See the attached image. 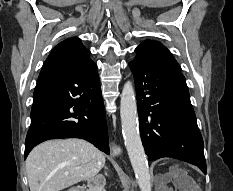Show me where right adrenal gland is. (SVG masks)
Instances as JSON below:
<instances>
[{"label": "right adrenal gland", "mask_w": 233, "mask_h": 191, "mask_svg": "<svg viewBox=\"0 0 233 191\" xmlns=\"http://www.w3.org/2000/svg\"><path fill=\"white\" fill-rule=\"evenodd\" d=\"M106 169H108L107 167H105ZM101 177H103V175H100ZM104 178V177H103ZM104 181H105V178H104Z\"/></svg>", "instance_id": "obj_1"}]
</instances>
